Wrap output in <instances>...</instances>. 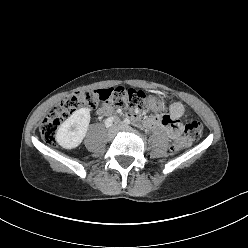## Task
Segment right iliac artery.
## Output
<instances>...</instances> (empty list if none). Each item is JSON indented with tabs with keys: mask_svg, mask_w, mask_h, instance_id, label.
Returning <instances> with one entry per match:
<instances>
[{
	"mask_svg": "<svg viewBox=\"0 0 248 248\" xmlns=\"http://www.w3.org/2000/svg\"><path fill=\"white\" fill-rule=\"evenodd\" d=\"M113 121H114V118H113V117H110V118L106 119V121H105V126H106L107 128L111 127L112 124H113Z\"/></svg>",
	"mask_w": 248,
	"mask_h": 248,
	"instance_id": "1",
	"label": "right iliac artery"
}]
</instances>
